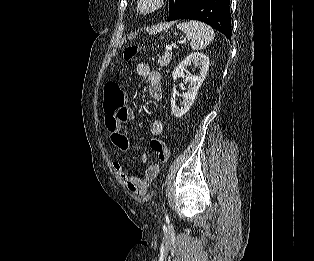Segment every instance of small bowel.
Listing matches in <instances>:
<instances>
[{"mask_svg": "<svg viewBox=\"0 0 314 261\" xmlns=\"http://www.w3.org/2000/svg\"><path fill=\"white\" fill-rule=\"evenodd\" d=\"M136 72L139 76L147 79L149 97L154 101H160L163 97L161 84V75L157 71H153L149 64L141 62L136 66ZM104 125L110 134L112 144L120 151H129L132 149L129 138L123 132V125L133 118L130 107L123 105L113 112L105 111ZM164 125L161 120H154L150 126L152 136H159L163 132ZM142 161L146 163L148 157L144 155ZM113 169L121 178L126 188L133 194L138 196L146 195L152 181L159 174L160 166L157 162L149 163L144 171L143 177H136L126 172L119 163L113 164Z\"/></svg>", "mask_w": 314, "mask_h": 261, "instance_id": "obj_1", "label": "small bowel"}]
</instances>
